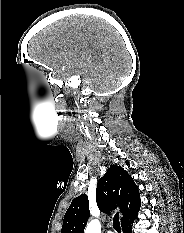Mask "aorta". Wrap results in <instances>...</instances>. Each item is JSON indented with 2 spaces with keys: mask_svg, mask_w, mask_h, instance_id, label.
I'll list each match as a JSON object with an SVG mask.
<instances>
[{
  "mask_svg": "<svg viewBox=\"0 0 184 233\" xmlns=\"http://www.w3.org/2000/svg\"><path fill=\"white\" fill-rule=\"evenodd\" d=\"M85 233H101V225L99 221L92 220L91 222H89L85 229Z\"/></svg>",
  "mask_w": 184,
  "mask_h": 233,
  "instance_id": "762f6f07",
  "label": "aorta"
}]
</instances>
